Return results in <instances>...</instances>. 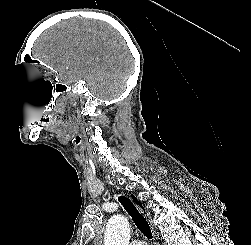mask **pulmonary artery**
Here are the masks:
<instances>
[{"mask_svg": "<svg viewBox=\"0 0 251 245\" xmlns=\"http://www.w3.org/2000/svg\"><path fill=\"white\" fill-rule=\"evenodd\" d=\"M131 245H147V243L145 241L135 240Z\"/></svg>", "mask_w": 251, "mask_h": 245, "instance_id": "pulmonary-artery-1", "label": "pulmonary artery"}]
</instances>
